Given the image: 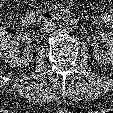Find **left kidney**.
Instances as JSON below:
<instances>
[{
    "instance_id": "left-kidney-1",
    "label": "left kidney",
    "mask_w": 113,
    "mask_h": 113,
    "mask_svg": "<svg viewBox=\"0 0 113 113\" xmlns=\"http://www.w3.org/2000/svg\"><path fill=\"white\" fill-rule=\"evenodd\" d=\"M102 41L106 45V51L100 52L98 50L97 42ZM93 56L96 59V61L107 64L112 63L113 64V37L108 33H97L93 37Z\"/></svg>"
}]
</instances>
